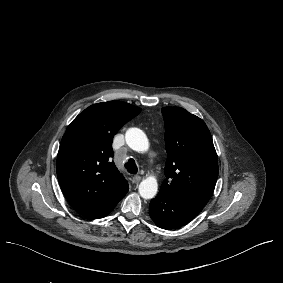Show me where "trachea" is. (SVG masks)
I'll list each match as a JSON object with an SVG mask.
<instances>
[{
    "instance_id": "3493384b",
    "label": "trachea",
    "mask_w": 283,
    "mask_h": 283,
    "mask_svg": "<svg viewBox=\"0 0 283 283\" xmlns=\"http://www.w3.org/2000/svg\"><path fill=\"white\" fill-rule=\"evenodd\" d=\"M125 168L130 174H137L138 168L134 159H129L125 163Z\"/></svg>"
}]
</instances>
